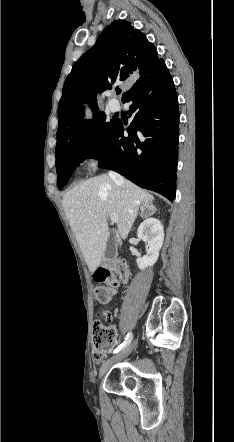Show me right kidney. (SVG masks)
I'll use <instances>...</instances> for the list:
<instances>
[{
  "label": "right kidney",
  "instance_id": "obj_1",
  "mask_svg": "<svg viewBox=\"0 0 234 442\" xmlns=\"http://www.w3.org/2000/svg\"><path fill=\"white\" fill-rule=\"evenodd\" d=\"M151 207L153 208V206ZM137 237L147 243L149 247L145 256L136 259L139 269L144 270L153 266L159 257V251L164 241L163 225L156 218H146L137 230Z\"/></svg>",
  "mask_w": 234,
  "mask_h": 442
}]
</instances>
